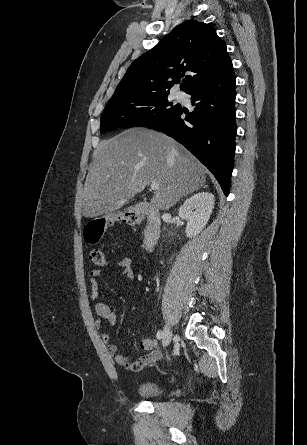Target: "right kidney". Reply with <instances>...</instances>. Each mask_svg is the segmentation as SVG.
I'll use <instances>...</instances> for the list:
<instances>
[{
	"label": "right kidney",
	"instance_id": "ca27d5eb",
	"mask_svg": "<svg viewBox=\"0 0 307 445\" xmlns=\"http://www.w3.org/2000/svg\"><path fill=\"white\" fill-rule=\"evenodd\" d=\"M215 196L212 192H197L185 200L178 210L181 218H186V237H196L205 229L214 208Z\"/></svg>",
	"mask_w": 307,
	"mask_h": 445
}]
</instances>
